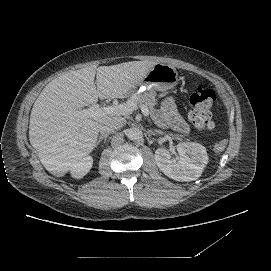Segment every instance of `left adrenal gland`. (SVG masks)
I'll list each match as a JSON object with an SVG mask.
<instances>
[{"instance_id": "a2214340", "label": "left adrenal gland", "mask_w": 271, "mask_h": 271, "mask_svg": "<svg viewBox=\"0 0 271 271\" xmlns=\"http://www.w3.org/2000/svg\"><path fill=\"white\" fill-rule=\"evenodd\" d=\"M156 134H157V135H161V134H163V132L158 131V130H154V131L152 132V136L155 137Z\"/></svg>"}]
</instances>
